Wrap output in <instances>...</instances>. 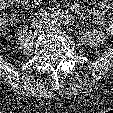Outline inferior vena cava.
<instances>
[{"label":"inferior vena cava","instance_id":"602c4592","mask_svg":"<svg viewBox=\"0 0 113 113\" xmlns=\"http://www.w3.org/2000/svg\"><path fill=\"white\" fill-rule=\"evenodd\" d=\"M59 24L60 23L57 19L48 20L46 22V28H48L49 30H55L58 28Z\"/></svg>","mask_w":113,"mask_h":113}]
</instances>
